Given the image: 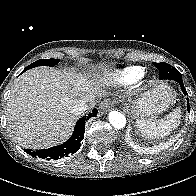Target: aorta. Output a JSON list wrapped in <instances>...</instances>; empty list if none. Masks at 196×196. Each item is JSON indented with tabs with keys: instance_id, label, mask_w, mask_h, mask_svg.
Returning <instances> with one entry per match:
<instances>
[{
	"instance_id": "762f6f07",
	"label": "aorta",
	"mask_w": 196,
	"mask_h": 196,
	"mask_svg": "<svg viewBox=\"0 0 196 196\" xmlns=\"http://www.w3.org/2000/svg\"><path fill=\"white\" fill-rule=\"evenodd\" d=\"M108 119L110 124L114 128L122 129L126 125V118L121 112L118 111L109 112Z\"/></svg>"
}]
</instances>
